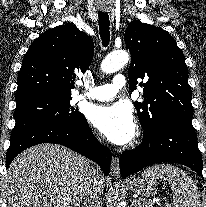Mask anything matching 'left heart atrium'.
I'll use <instances>...</instances> for the list:
<instances>
[{"label": "left heart atrium", "instance_id": "39dd6f15", "mask_svg": "<svg viewBox=\"0 0 206 207\" xmlns=\"http://www.w3.org/2000/svg\"><path fill=\"white\" fill-rule=\"evenodd\" d=\"M90 119L109 141L117 145L130 142L136 132L134 115L125 103L97 106L92 110Z\"/></svg>", "mask_w": 206, "mask_h": 207}]
</instances>
